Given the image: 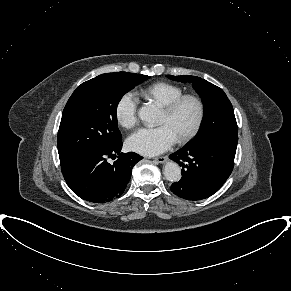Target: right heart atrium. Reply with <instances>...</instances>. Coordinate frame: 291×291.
Instances as JSON below:
<instances>
[{"label":"right heart atrium","instance_id":"obj_1","mask_svg":"<svg viewBox=\"0 0 291 291\" xmlns=\"http://www.w3.org/2000/svg\"><path fill=\"white\" fill-rule=\"evenodd\" d=\"M138 102L131 92L124 93L117 101L115 117L124 129H132L138 122Z\"/></svg>","mask_w":291,"mask_h":291}]
</instances>
